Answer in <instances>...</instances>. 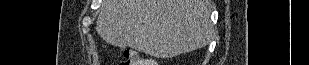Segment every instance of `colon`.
<instances>
[{"mask_svg":"<svg viewBox=\"0 0 309 65\" xmlns=\"http://www.w3.org/2000/svg\"><path fill=\"white\" fill-rule=\"evenodd\" d=\"M154 61L144 60L136 51H128L120 65H154Z\"/></svg>","mask_w":309,"mask_h":65,"instance_id":"colon-1","label":"colon"}]
</instances>
